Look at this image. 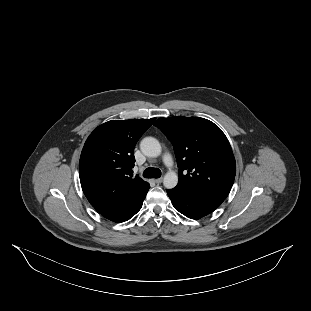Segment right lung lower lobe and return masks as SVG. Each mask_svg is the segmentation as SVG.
<instances>
[{"instance_id": "obj_1", "label": "right lung lower lobe", "mask_w": 311, "mask_h": 311, "mask_svg": "<svg viewBox=\"0 0 311 311\" xmlns=\"http://www.w3.org/2000/svg\"><path fill=\"white\" fill-rule=\"evenodd\" d=\"M146 197V195H145ZM145 197H143L136 205V207L132 210V212L130 213V216L128 219H130L132 216H134L142 207V204H143V200L145 199ZM127 219V220H128Z\"/></svg>"}]
</instances>
